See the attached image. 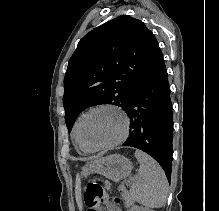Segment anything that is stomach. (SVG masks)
<instances>
[{
	"mask_svg": "<svg viewBox=\"0 0 219 211\" xmlns=\"http://www.w3.org/2000/svg\"><path fill=\"white\" fill-rule=\"evenodd\" d=\"M131 170L132 164L128 158L120 154H112L87 163L82 167L81 175L87 177L97 173L118 182L127 178Z\"/></svg>",
	"mask_w": 219,
	"mask_h": 211,
	"instance_id": "stomach-1",
	"label": "stomach"
}]
</instances>
